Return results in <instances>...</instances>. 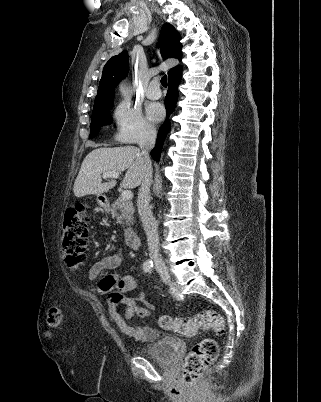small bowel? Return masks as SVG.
<instances>
[{
	"instance_id": "small-bowel-1",
	"label": "small bowel",
	"mask_w": 321,
	"mask_h": 402,
	"mask_svg": "<svg viewBox=\"0 0 321 402\" xmlns=\"http://www.w3.org/2000/svg\"><path fill=\"white\" fill-rule=\"evenodd\" d=\"M122 260L123 253L121 251L103 257L93 265L90 276L96 277L104 271L116 269L120 266ZM136 288L137 283L132 276H108L102 279L100 283V291L102 293H109L117 289L124 294H131L135 292ZM121 303L125 307L123 314L118 311V304L110 303L108 305L110 319L117 325L118 329L135 341H154L156 339V329L149 326H140L131 321L135 314L142 318L149 316L152 308L139 306L134 299L129 297L125 298Z\"/></svg>"
}]
</instances>
